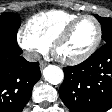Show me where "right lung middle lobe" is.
Masks as SVG:
<instances>
[{"label":"right lung middle lobe","instance_id":"obj_1","mask_svg":"<svg viewBox=\"0 0 112 112\" xmlns=\"http://www.w3.org/2000/svg\"><path fill=\"white\" fill-rule=\"evenodd\" d=\"M21 19L15 13L0 14V44L18 47L17 31L20 27Z\"/></svg>","mask_w":112,"mask_h":112}]
</instances>
